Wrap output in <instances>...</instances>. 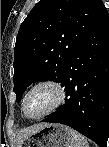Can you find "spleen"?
<instances>
[{
  "label": "spleen",
  "instance_id": "obj_1",
  "mask_svg": "<svg viewBox=\"0 0 109 147\" xmlns=\"http://www.w3.org/2000/svg\"><path fill=\"white\" fill-rule=\"evenodd\" d=\"M71 147H89V145L84 136L71 130Z\"/></svg>",
  "mask_w": 109,
  "mask_h": 147
}]
</instances>
